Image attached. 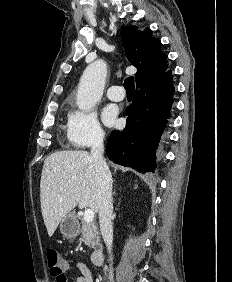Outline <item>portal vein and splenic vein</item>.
I'll return each instance as SVG.
<instances>
[{
  "instance_id": "portal-vein-and-splenic-vein-1",
  "label": "portal vein and splenic vein",
  "mask_w": 232,
  "mask_h": 282,
  "mask_svg": "<svg viewBox=\"0 0 232 282\" xmlns=\"http://www.w3.org/2000/svg\"><path fill=\"white\" fill-rule=\"evenodd\" d=\"M83 219L85 222H92L94 219V211L92 209H86L84 212Z\"/></svg>"
}]
</instances>
